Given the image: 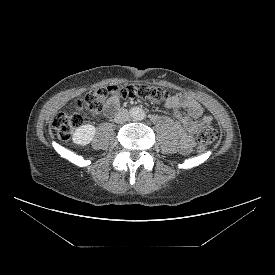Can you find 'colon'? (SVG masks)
Returning a JSON list of instances; mask_svg holds the SVG:
<instances>
[{"label": "colon", "instance_id": "1", "mask_svg": "<svg viewBox=\"0 0 275 275\" xmlns=\"http://www.w3.org/2000/svg\"><path fill=\"white\" fill-rule=\"evenodd\" d=\"M111 97H117L121 100L135 101L148 100L151 102H162L169 98L166 90L156 86L143 84H130L126 86L111 85L100 87L90 91L76 103L78 109H86L91 113L100 114L104 105ZM84 122L82 115L59 113L52 121V126L62 140L71 137L73 131L80 127ZM217 138V132L211 127L210 123L202 119L199 123L197 134V151L202 153Z\"/></svg>", "mask_w": 275, "mask_h": 275}]
</instances>
